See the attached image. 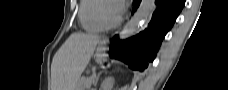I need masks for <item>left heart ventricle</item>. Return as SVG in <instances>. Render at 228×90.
Listing matches in <instances>:
<instances>
[{
  "label": "left heart ventricle",
  "mask_w": 228,
  "mask_h": 90,
  "mask_svg": "<svg viewBox=\"0 0 228 90\" xmlns=\"http://www.w3.org/2000/svg\"><path fill=\"white\" fill-rule=\"evenodd\" d=\"M103 15L108 21H112L116 19L119 14L117 13L113 4H107L103 9Z\"/></svg>",
  "instance_id": "left-heart-ventricle-1"
}]
</instances>
